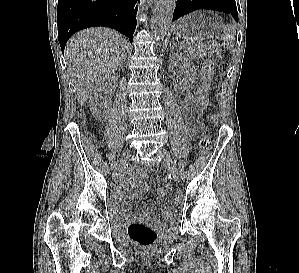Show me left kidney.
Here are the masks:
<instances>
[{"instance_id":"5707ae66","label":"left kidney","mask_w":299,"mask_h":273,"mask_svg":"<svg viewBox=\"0 0 299 273\" xmlns=\"http://www.w3.org/2000/svg\"><path fill=\"white\" fill-rule=\"evenodd\" d=\"M181 68L185 75V81L180 86L182 93L189 92L196 80V71L192 63L181 53H171L168 60V68L174 71L176 68Z\"/></svg>"}]
</instances>
